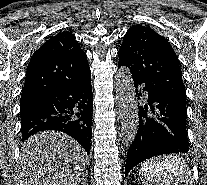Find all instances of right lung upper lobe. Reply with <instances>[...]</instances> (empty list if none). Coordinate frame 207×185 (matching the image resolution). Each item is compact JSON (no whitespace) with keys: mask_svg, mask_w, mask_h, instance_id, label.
<instances>
[{"mask_svg":"<svg viewBox=\"0 0 207 185\" xmlns=\"http://www.w3.org/2000/svg\"><path fill=\"white\" fill-rule=\"evenodd\" d=\"M90 74L87 56L70 32L48 39L30 59L20 107L54 92L69 82Z\"/></svg>","mask_w":207,"mask_h":185,"instance_id":"cb5924a9","label":"right lung upper lobe"}]
</instances>
